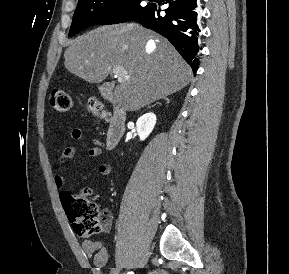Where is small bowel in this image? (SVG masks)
<instances>
[{"label": "small bowel", "instance_id": "obj_1", "mask_svg": "<svg viewBox=\"0 0 289 274\" xmlns=\"http://www.w3.org/2000/svg\"><path fill=\"white\" fill-rule=\"evenodd\" d=\"M69 137L75 140L84 139V133L79 128H73L69 132ZM77 148L74 145L67 146L60 154L59 162L63 163L69 159L74 158ZM88 154L92 157H97L101 154L100 141L94 140V146L88 149ZM98 171L101 174H108L111 171V165L109 163H103L98 167ZM54 183L57 189H63L66 186V178L62 174H56L54 177ZM82 249L85 254L93 256L94 265L98 268H103L107 265L109 260V254L107 248L97 240L87 239L82 242Z\"/></svg>", "mask_w": 289, "mask_h": 274}]
</instances>
